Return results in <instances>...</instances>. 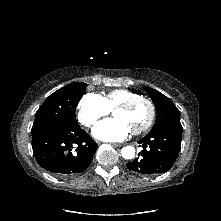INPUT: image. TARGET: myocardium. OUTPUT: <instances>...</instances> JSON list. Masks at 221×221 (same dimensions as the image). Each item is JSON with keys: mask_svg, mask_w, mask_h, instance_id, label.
I'll return each mask as SVG.
<instances>
[{"mask_svg": "<svg viewBox=\"0 0 221 221\" xmlns=\"http://www.w3.org/2000/svg\"><path fill=\"white\" fill-rule=\"evenodd\" d=\"M140 103H145V104L148 105V107H149V117H148V120L142 126H140L139 128L131 130V132L134 135H139V134H142V133L146 132L153 125V123L155 121V118H156V106H155L154 102L151 99L147 98V97L140 96L138 98L126 101V102L118 105L115 108V110L129 111V110H132L134 107H136Z\"/></svg>", "mask_w": 221, "mask_h": 221, "instance_id": "1", "label": "myocardium"}]
</instances>
